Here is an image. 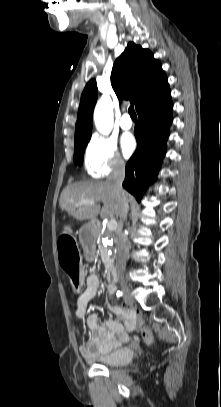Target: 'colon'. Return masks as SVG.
<instances>
[{"mask_svg": "<svg viewBox=\"0 0 221 407\" xmlns=\"http://www.w3.org/2000/svg\"><path fill=\"white\" fill-rule=\"evenodd\" d=\"M76 237V230L70 226L65 230L64 236L59 241V261L62 268L68 274L74 288H78L81 282L79 255L73 240ZM141 335L146 344L153 343V335L149 328H142Z\"/></svg>", "mask_w": 221, "mask_h": 407, "instance_id": "1", "label": "colon"}]
</instances>
